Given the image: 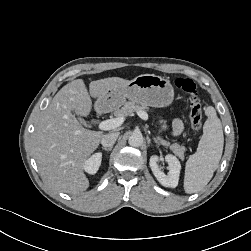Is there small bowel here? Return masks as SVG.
I'll list each match as a JSON object with an SVG mask.
<instances>
[{"mask_svg": "<svg viewBox=\"0 0 251 251\" xmlns=\"http://www.w3.org/2000/svg\"><path fill=\"white\" fill-rule=\"evenodd\" d=\"M183 129V123L180 119H176L174 122H173V134L174 135H178L181 133Z\"/></svg>", "mask_w": 251, "mask_h": 251, "instance_id": "1", "label": "small bowel"}]
</instances>
